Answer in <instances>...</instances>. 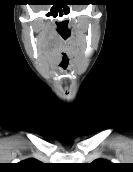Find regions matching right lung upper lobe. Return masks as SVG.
Listing matches in <instances>:
<instances>
[{
  "label": "right lung upper lobe",
  "instance_id": "obj_1",
  "mask_svg": "<svg viewBox=\"0 0 133 172\" xmlns=\"http://www.w3.org/2000/svg\"><path fill=\"white\" fill-rule=\"evenodd\" d=\"M42 166V163L36 159H27L25 161H22L19 163L18 168L23 171H36L40 169Z\"/></svg>",
  "mask_w": 133,
  "mask_h": 172
}]
</instances>
